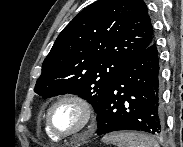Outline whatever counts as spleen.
Segmentation results:
<instances>
[{"instance_id":"spleen-1","label":"spleen","mask_w":183,"mask_h":147,"mask_svg":"<svg viewBox=\"0 0 183 147\" xmlns=\"http://www.w3.org/2000/svg\"><path fill=\"white\" fill-rule=\"evenodd\" d=\"M106 143L117 147H159L157 141L145 134L136 132H115L103 137Z\"/></svg>"}]
</instances>
